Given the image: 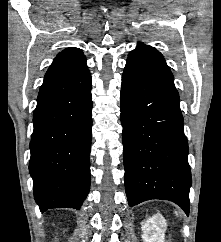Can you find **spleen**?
<instances>
[{
    "label": "spleen",
    "instance_id": "1",
    "mask_svg": "<svg viewBox=\"0 0 221 242\" xmlns=\"http://www.w3.org/2000/svg\"><path fill=\"white\" fill-rule=\"evenodd\" d=\"M175 214L178 215L177 211H175Z\"/></svg>",
    "mask_w": 221,
    "mask_h": 242
}]
</instances>
